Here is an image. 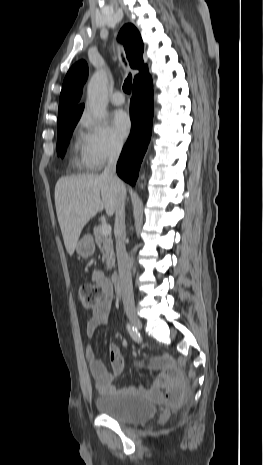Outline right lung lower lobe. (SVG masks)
<instances>
[{"label": "right lung lower lobe", "instance_id": "right-lung-lower-lobe-1", "mask_svg": "<svg viewBox=\"0 0 263 465\" xmlns=\"http://www.w3.org/2000/svg\"><path fill=\"white\" fill-rule=\"evenodd\" d=\"M130 112L131 133L118 160L117 174L129 184L134 185L152 131L153 89L149 74L133 83Z\"/></svg>", "mask_w": 263, "mask_h": 465}]
</instances>
